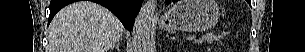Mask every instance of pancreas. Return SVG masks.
<instances>
[{
    "instance_id": "pancreas-1",
    "label": "pancreas",
    "mask_w": 305,
    "mask_h": 52,
    "mask_svg": "<svg viewBox=\"0 0 305 52\" xmlns=\"http://www.w3.org/2000/svg\"><path fill=\"white\" fill-rule=\"evenodd\" d=\"M220 41H221L220 37L213 35V34L204 35L202 37V39L199 40V42H201V43H203V42L215 43V42H220Z\"/></svg>"
}]
</instances>
